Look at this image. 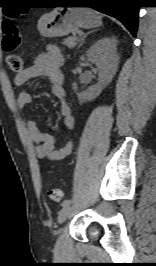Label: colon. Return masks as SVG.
I'll return each instance as SVG.
<instances>
[{
    "instance_id": "colon-1",
    "label": "colon",
    "mask_w": 156,
    "mask_h": 266,
    "mask_svg": "<svg viewBox=\"0 0 156 266\" xmlns=\"http://www.w3.org/2000/svg\"><path fill=\"white\" fill-rule=\"evenodd\" d=\"M3 47L7 51L16 49L21 43V34L17 26L11 21H6L3 24ZM7 64L12 72L20 73L24 68V58L15 53H11L7 56ZM49 197L55 201L60 202L63 198L61 190L50 186L48 189Z\"/></svg>"
}]
</instances>
